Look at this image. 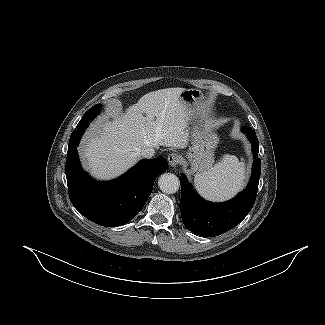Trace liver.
Masks as SVG:
<instances>
[{"label":"liver","mask_w":325,"mask_h":325,"mask_svg":"<svg viewBox=\"0 0 325 325\" xmlns=\"http://www.w3.org/2000/svg\"><path fill=\"white\" fill-rule=\"evenodd\" d=\"M185 88L149 92L124 112L115 108L88 132L81 147L86 168L98 179H113L133 167L144 148H186L195 112L180 95Z\"/></svg>","instance_id":"1"}]
</instances>
